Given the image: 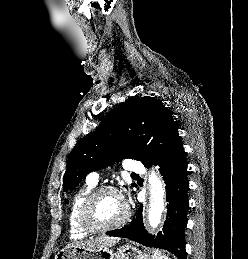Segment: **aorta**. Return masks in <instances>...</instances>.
<instances>
[{
  "instance_id": "1",
  "label": "aorta",
  "mask_w": 248,
  "mask_h": 259,
  "mask_svg": "<svg viewBox=\"0 0 248 259\" xmlns=\"http://www.w3.org/2000/svg\"><path fill=\"white\" fill-rule=\"evenodd\" d=\"M152 187V200L149 208L148 220L152 229L158 227L165 209V188L161 180L155 175L149 179Z\"/></svg>"
}]
</instances>
